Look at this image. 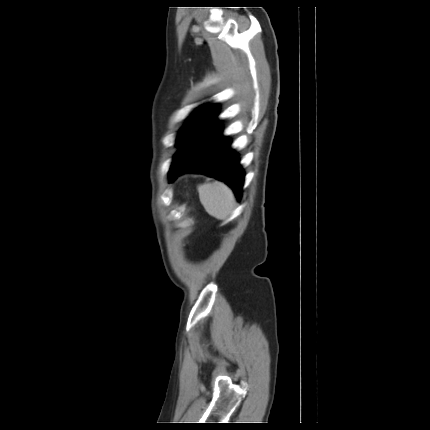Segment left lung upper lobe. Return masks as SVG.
Returning <instances> with one entry per match:
<instances>
[{"label":"left lung upper lobe","mask_w":430,"mask_h":430,"mask_svg":"<svg viewBox=\"0 0 430 430\" xmlns=\"http://www.w3.org/2000/svg\"><path fill=\"white\" fill-rule=\"evenodd\" d=\"M217 113V104H206L198 107L188 118L187 123L181 128L177 137L176 147L180 148L187 142L201 122L206 119H216Z\"/></svg>","instance_id":"obj_1"}]
</instances>
